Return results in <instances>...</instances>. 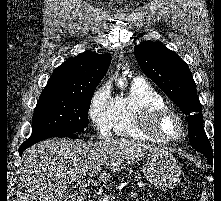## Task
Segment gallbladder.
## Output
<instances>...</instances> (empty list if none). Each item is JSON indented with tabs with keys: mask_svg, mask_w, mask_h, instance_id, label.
I'll list each match as a JSON object with an SVG mask.
<instances>
[{
	"mask_svg": "<svg viewBox=\"0 0 221 201\" xmlns=\"http://www.w3.org/2000/svg\"><path fill=\"white\" fill-rule=\"evenodd\" d=\"M72 196H74L73 193H68V197H72Z\"/></svg>",
	"mask_w": 221,
	"mask_h": 201,
	"instance_id": "1",
	"label": "gallbladder"
}]
</instances>
